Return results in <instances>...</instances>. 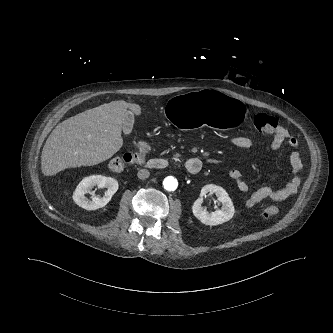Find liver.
Here are the masks:
<instances>
[{
	"instance_id": "liver-1",
	"label": "liver",
	"mask_w": 333,
	"mask_h": 333,
	"mask_svg": "<svg viewBox=\"0 0 333 333\" xmlns=\"http://www.w3.org/2000/svg\"><path fill=\"white\" fill-rule=\"evenodd\" d=\"M135 103L117 100L86 110L59 123L48 136L41 155L45 176L73 167L93 166L111 158L123 145L122 123Z\"/></svg>"
}]
</instances>
